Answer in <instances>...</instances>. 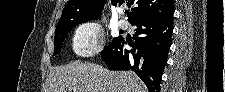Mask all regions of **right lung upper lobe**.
I'll return each instance as SVG.
<instances>
[{"instance_id":"cb5924a9","label":"right lung upper lobe","mask_w":225,"mask_h":92,"mask_svg":"<svg viewBox=\"0 0 225 92\" xmlns=\"http://www.w3.org/2000/svg\"><path fill=\"white\" fill-rule=\"evenodd\" d=\"M112 2L115 6L118 2L119 5L124 2L128 5L137 4V7L133 8L128 15V21L131 24L142 19L167 17L174 13L172 0H112ZM104 4L105 0H69L57 27L100 18Z\"/></svg>"}]
</instances>
